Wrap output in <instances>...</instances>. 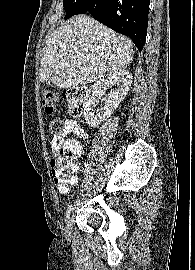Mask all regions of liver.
<instances>
[{
	"label": "liver",
	"instance_id": "1",
	"mask_svg": "<svg viewBox=\"0 0 195 270\" xmlns=\"http://www.w3.org/2000/svg\"><path fill=\"white\" fill-rule=\"evenodd\" d=\"M132 44L86 15H77L47 35L39 80L60 89L84 85L123 71Z\"/></svg>",
	"mask_w": 195,
	"mask_h": 270
}]
</instances>
